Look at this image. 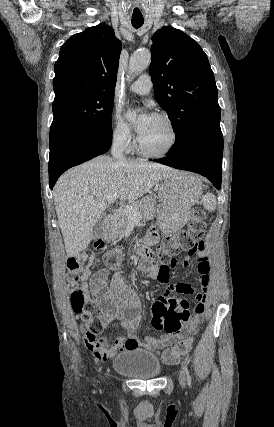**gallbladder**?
<instances>
[{
  "mask_svg": "<svg viewBox=\"0 0 274 427\" xmlns=\"http://www.w3.org/2000/svg\"><path fill=\"white\" fill-rule=\"evenodd\" d=\"M104 219H105V217H100L98 223H96V225H94L93 233H92V239H97V237H100V235H102Z\"/></svg>",
  "mask_w": 274,
  "mask_h": 427,
  "instance_id": "obj_1",
  "label": "gallbladder"
}]
</instances>
